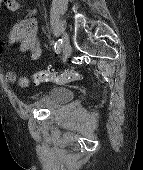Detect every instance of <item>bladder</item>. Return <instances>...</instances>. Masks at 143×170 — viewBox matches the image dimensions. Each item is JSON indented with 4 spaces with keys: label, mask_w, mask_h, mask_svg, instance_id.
Wrapping results in <instances>:
<instances>
[{
    "label": "bladder",
    "mask_w": 143,
    "mask_h": 170,
    "mask_svg": "<svg viewBox=\"0 0 143 170\" xmlns=\"http://www.w3.org/2000/svg\"><path fill=\"white\" fill-rule=\"evenodd\" d=\"M50 97L54 106H60L72 100V93L66 87H54L50 91Z\"/></svg>",
    "instance_id": "1"
}]
</instances>
